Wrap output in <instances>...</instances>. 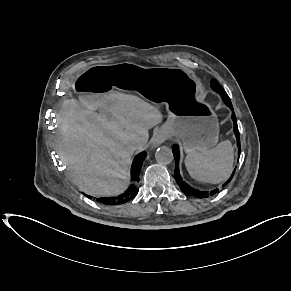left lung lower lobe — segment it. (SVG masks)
Returning <instances> with one entry per match:
<instances>
[{
  "label": "left lung lower lobe",
  "instance_id": "1",
  "mask_svg": "<svg viewBox=\"0 0 291 291\" xmlns=\"http://www.w3.org/2000/svg\"><path fill=\"white\" fill-rule=\"evenodd\" d=\"M224 101V103L232 110V120L234 122V132L237 138V146H238V155L240 156V136H239V131H238V126H237V121H236V116L233 110L232 103L230 101L229 96L227 95L226 92L219 93ZM178 145H173V154L175 158V180L178 183L180 189L182 190L183 193H185L188 196H194L197 198H207L209 196L214 195L219 191V189H214L212 191H199L197 189L192 188L189 186L185 181L182 180V177L180 176L179 173V150H178ZM234 175V172L230 176V178L223 184L222 187H224L227 183H229Z\"/></svg>",
  "mask_w": 291,
  "mask_h": 291
}]
</instances>
